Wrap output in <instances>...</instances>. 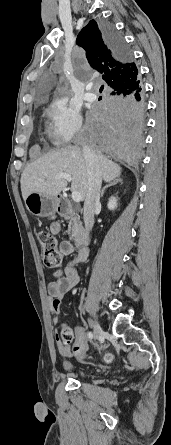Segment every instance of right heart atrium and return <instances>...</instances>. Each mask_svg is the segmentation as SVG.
<instances>
[{
  "instance_id": "obj_1",
  "label": "right heart atrium",
  "mask_w": 171,
  "mask_h": 445,
  "mask_svg": "<svg viewBox=\"0 0 171 445\" xmlns=\"http://www.w3.org/2000/svg\"><path fill=\"white\" fill-rule=\"evenodd\" d=\"M51 134L58 144L70 143L82 129L79 111L66 102H58L50 109Z\"/></svg>"
}]
</instances>
